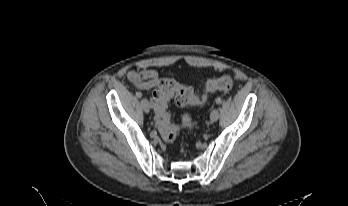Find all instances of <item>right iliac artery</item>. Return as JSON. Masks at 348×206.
<instances>
[{
  "instance_id": "1",
  "label": "right iliac artery",
  "mask_w": 348,
  "mask_h": 206,
  "mask_svg": "<svg viewBox=\"0 0 348 206\" xmlns=\"http://www.w3.org/2000/svg\"><path fill=\"white\" fill-rule=\"evenodd\" d=\"M136 96H137L138 98H141V97H142V93H141V92H136Z\"/></svg>"
}]
</instances>
